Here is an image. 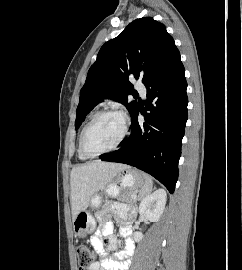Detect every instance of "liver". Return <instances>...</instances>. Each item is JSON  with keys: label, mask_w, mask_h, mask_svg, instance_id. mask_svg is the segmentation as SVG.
I'll list each match as a JSON object with an SVG mask.
<instances>
[{"label": "liver", "mask_w": 242, "mask_h": 270, "mask_svg": "<svg viewBox=\"0 0 242 270\" xmlns=\"http://www.w3.org/2000/svg\"><path fill=\"white\" fill-rule=\"evenodd\" d=\"M126 168L124 164L98 160L73 168L70 175L72 220L87 208L94 194L105 189Z\"/></svg>", "instance_id": "1"}]
</instances>
